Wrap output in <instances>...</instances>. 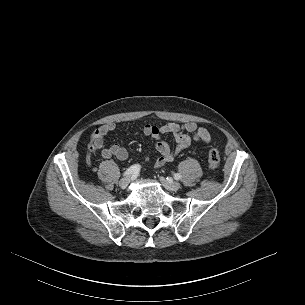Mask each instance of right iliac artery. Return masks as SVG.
<instances>
[{
    "instance_id": "right-iliac-artery-1",
    "label": "right iliac artery",
    "mask_w": 305,
    "mask_h": 305,
    "mask_svg": "<svg viewBox=\"0 0 305 305\" xmlns=\"http://www.w3.org/2000/svg\"><path fill=\"white\" fill-rule=\"evenodd\" d=\"M140 165L139 164H135V165H132L131 167H129L124 173H123V176H130V175H136L139 173L140 171Z\"/></svg>"
}]
</instances>
